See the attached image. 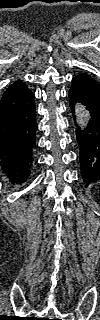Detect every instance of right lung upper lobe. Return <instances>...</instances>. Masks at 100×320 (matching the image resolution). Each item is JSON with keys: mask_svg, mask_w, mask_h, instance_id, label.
<instances>
[{"mask_svg": "<svg viewBox=\"0 0 100 320\" xmlns=\"http://www.w3.org/2000/svg\"><path fill=\"white\" fill-rule=\"evenodd\" d=\"M26 89H27L26 83L18 80L7 88L3 96L9 97V96L18 95L23 91H25Z\"/></svg>", "mask_w": 100, "mask_h": 320, "instance_id": "cb5924a9", "label": "right lung upper lobe"}]
</instances>
